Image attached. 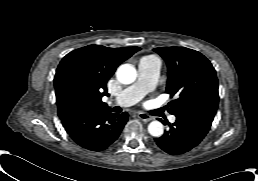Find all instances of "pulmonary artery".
Wrapping results in <instances>:
<instances>
[{
    "label": "pulmonary artery",
    "instance_id": "pulmonary-artery-1",
    "mask_svg": "<svg viewBox=\"0 0 258 181\" xmlns=\"http://www.w3.org/2000/svg\"><path fill=\"white\" fill-rule=\"evenodd\" d=\"M161 62L155 56L143 57L138 64V79L131 86L125 88L118 96L111 100L112 103L127 107L139 102L156 85ZM175 116H170V121H175Z\"/></svg>",
    "mask_w": 258,
    "mask_h": 181
}]
</instances>
